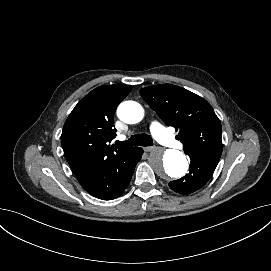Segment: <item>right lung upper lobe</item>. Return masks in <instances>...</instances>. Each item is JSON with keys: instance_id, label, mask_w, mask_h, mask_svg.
Segmentation results:
<instances>
[{"instance_id": "1", "label": "right lung upper lobe", "mask_w": 271, "mask_h": 271, "mask_svg": "<svg viewBox=\"0 0 271 271\" xmlns=\"http://www.w3.org/2000/svg\"><path fill=\"white\" fill-rule=\"evenodd\" d=\"M132 86H100L86 95L68 116L61 135L66 159L80 184L132 147L110 145L116 137L113 116Z\"/></svg>"}]
</instances>
